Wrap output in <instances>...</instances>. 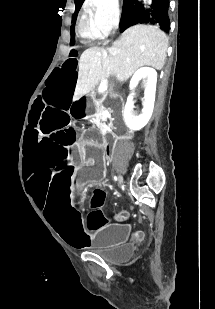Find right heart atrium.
Returning a JSON list of instances; mask_svg holds the SVG:
<instances>
[{
  "label": "right heart atrium",
  "mask_w": 215,
  "mask_h": 309,
  "mask_svg": "<svg viewBox=\"0 0 215 309\" xmlns=\"http://www.w3.org/2000/svg\"><path fill=\"white\" fill-rule=\"evenodd\" d=\"M91 7H98L91 15V24L96 29L97 38L103 39L118 28L117 0H91Z\"/></svg>",
  "instance_id": "obj_1"
}]
</instances>
